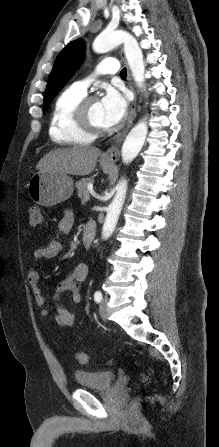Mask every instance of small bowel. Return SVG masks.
<instances>
[{
    "label": "small bowel",
    "instance_id": "small-bowel-1",
    "mask_svg": "<svg viewBox=\"0 0 219 447\" xmlns=\"http://www.w3.org/2000/svg\"><path fill=\"white\" fill-rule=\"evenodd\" d=\"M74 215L67 212L61 218L58 224V229L62 234H67L71 231L74 225ZM64 245L59 240H51L46 246L39 247L34 251V258L37 260H48L57 257L63 251ZM88 276V267L84 263L76 264L72 270L61 281L58 293L69 294L74 303L81 300V293L79 283L83 282ZM27 283L31 288L36 304L41 307V315L49 317L51 312L45 307V296L40 287V275L37 269H32L27 275ZM55 321L59 326H71L74 324V314L65 307L59 306Z\"/></svg>",
    "mask_w": 219,
    "mask_h": 447
}]
</instances>
